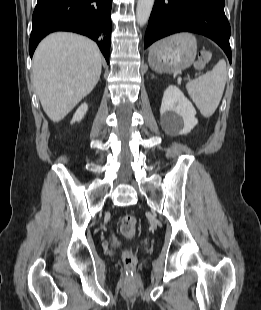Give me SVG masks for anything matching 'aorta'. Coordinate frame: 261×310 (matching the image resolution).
Returning <instances> with one entry per match:
<instances>
[{
    "mask_svg": "<svg viewBox=\"0 0 261 310\" xmlns=\"http://www.w3.org/2000/svg\"><path fill=\"white\" fill-rule=\"evenodd\" d=\"M155 0H138L136 19L139 26H144L150 17Z\"/></svg>",
    "mask_w": 261,
    "mask_h": 310,
    "instance_id": "762f6f07",
    "label": "aorta"
}]
</instances>
